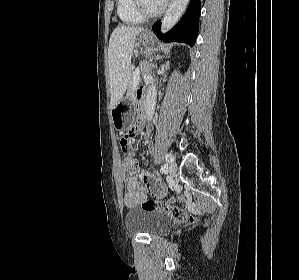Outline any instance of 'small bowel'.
Segmentation results:
<instances>
[{
  "mask_svg": "<svg viewBox=\"0 0 299 280\" xmlns=\"http://www.w3.org/2000/svg\"><path fill=\"white\" fill-rule=\"evenodd\" d=\"M143 125L144 118L139 110L137 119L131 127L134 134L138 133ZM149 150L153 151V147L149 146ZM149 195L156 198H164L167 195V187L159 177L149 172H142L140 176L132 175L126 179V191L123 200L128 208L142 205L148 200Z\"/></svg>",
  "mask_w": 299,
  "mask_h": 280,
  "instance_id": "small-bowel-1",
  "label": "small bowel"
}]
</instances>
